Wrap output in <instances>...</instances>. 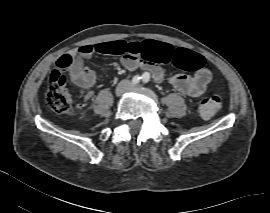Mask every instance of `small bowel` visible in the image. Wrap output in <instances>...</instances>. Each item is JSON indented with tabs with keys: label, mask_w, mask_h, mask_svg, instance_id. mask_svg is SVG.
<instances>
[{
	"label": "small bowel",
	"mask_w": 270,
	"mask_h": 213,
	"mask_svg": "<svg viewBox=\"0 0 270 213\" xmlns=\"http://www.w3.org/2000/svg\"><path fill=\"white\" fill-rule=\"evenodd\" d=\"M102 45L103 43L83 44L70 53L71 61L68 66L70 82L84 90L85 99H89L93 95L96 75L84 62L98 54H103L104 52L101 50ZM142 45L149 48L148 57L158 63L171 62L178 54L186 55L189 52L187 49H176L170 44L158 41H149ZM121 62L130 71L141 67L149 69L156 82H160L164 77V71L157 63L139 60L132 56H124ZM210 80L211 73L207 69H200L192 76L175 74L169 78V82L173 87L189 96L202 95L206 91Z\"/></svg>",
	"instance_id": "1"
}]
</instances>
